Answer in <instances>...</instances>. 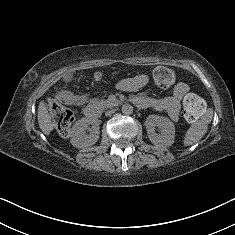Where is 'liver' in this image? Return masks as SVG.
Here are the masks:
<instances>
[{
    "instance_id": "1",
    "label": "liver",
    "mask_w": 235,
    "mask_h": 235,
    "mask_svg": "<svg viewBox=\"0 0 235 235\" xmlns=\"http://www.w3.org/2000/svg\"><path fill=\"white\" fill-rule=\"evenodd\" d=\"M38 123L43 133L48 135L51 132L50 117L44 101H41L38 105Z\"/></svg>"
}]
</instances>
